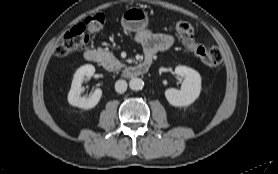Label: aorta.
<instances>
[{"label":"aorta","mask_w":278,"mask_h":174,"mask_svg":"<svg viewBox=\"0 0 278 174\" xmlns=\"http://www.w3.org/2000/svg\"><path fill=\"white\" fill-rule=\"evenodd\" d=\"M129 87L133 91H139L144 87V82L140 78H132L129 81Z\"/></svg>","instance_id":"762f6f07"}]
</instances>
